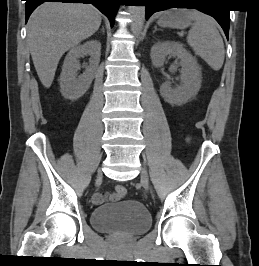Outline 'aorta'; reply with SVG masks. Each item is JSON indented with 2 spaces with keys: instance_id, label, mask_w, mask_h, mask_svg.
<instances>
[{
  "instance_id": "obj_1",
  "label": "aorta",
  "mask_w": 259,
  "mask_h": 266,
  "mask_svg": "<svg viewBox=\"0 0 259 266\" xmlns=\"http://www.w3.org/2000/svg\"><path fill=\"white\" fill-rule=\"evenodd\" d=\"M129 13L132 20L131 31L135 35H139L144 25L145 6H129Z\"/></svg>"
}]
</instances>
